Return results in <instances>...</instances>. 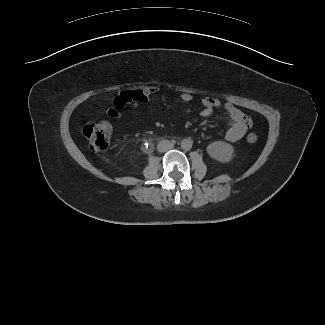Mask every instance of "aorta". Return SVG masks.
I'll use <instances>...</instances> for the list:
<instances>
[{"mask_svg": "<svg viewBox=\"0 0 325 325\" xmlns=\"http://www.w3.org/2000/svg\"><path fill=\"white\" fill-rule=\"evenodd\" d=\"M181 148L184 150H190L192 148V141L190 139H183L181 141Z\"/></svg>", "mask_w": 325, "mask_h": 325, "instance_id": "obj_1", "label": "aorta"}]
</instances>
